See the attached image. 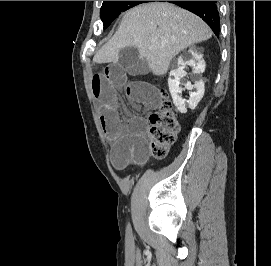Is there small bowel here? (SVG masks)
<instances>
[{
    "label": "small bowel",
    "instance_id": "small-bowel-1",
    "mask_svg": "<svg viewBox=\"0 0 271 266\" xmlns=\"http://www.w3.org/2000/svg\"><path fill=\"white\" fill-rule=\"evenodd\" d=\"M147 72L148 66L144 61L129 57L123 63H108L91 79L92 93L98 102L99 119L112 142L111 161L116 169H123L132 163L143 164L148 159L146 121L135 116L123 123L118 97V93L123 91L135 104L155 105L159 101V94L153 85L129 80V76Z\"/></svg>",
    "mask_w": 271,
    "mask_h": 266
}]
</instances>
